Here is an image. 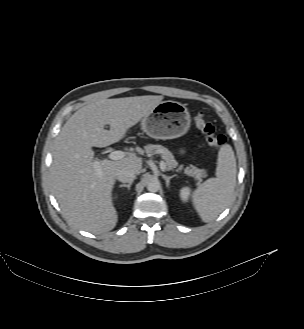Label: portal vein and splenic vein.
Returning <instances> with one entry per match:
<instances>
[{
  "label": "portal vein and splenic vein",
  "mask_w": 304,
  "mask_h": 329,
  "mask_svg": "<svg viewBox=\"0 0 304 329\" xmlns=\"http://www.w3.org/2000/svg\"><path fill=\"white\" fill-rule=\"evenodd\" d=\"M126 156V153L124 151H120V150H113L109 153L108 157L111 160H120L123 159ZM160 168L162 171H165L166 169V163L164 161H160ZM95 169L98 172V175H102L101 169L98 166V162H96L95 164Z\"/></svg>",
  "instance_id": "18ae733b"
}]
</instances>
